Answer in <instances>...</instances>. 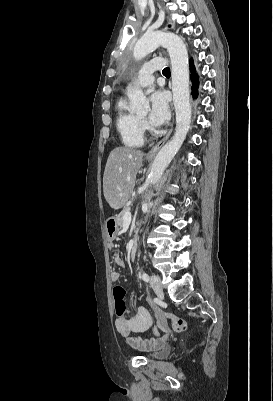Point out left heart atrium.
Listing matches in <instances>:
<instances>
[{
  "mask_svg": "<svg viewBox=\"0 0 273 401\" xmlns=\"http://www.w3.org/2000/svg\"><path fill=\"white\" fill-rule=\"evenodd\" d=\"M169 106L162 93H154L150 97L149 122L156 127L162 126L169 119Z\"/></svg>",
  "mask_w": 273,
  "mask_h": 401,
  "instance_id": "1",
  "label": "left heart atrium"
}]
</instances>
